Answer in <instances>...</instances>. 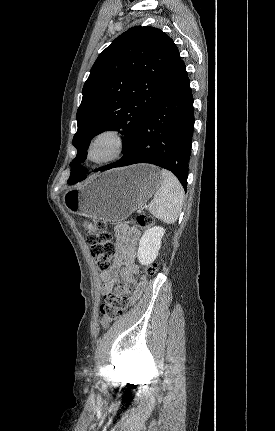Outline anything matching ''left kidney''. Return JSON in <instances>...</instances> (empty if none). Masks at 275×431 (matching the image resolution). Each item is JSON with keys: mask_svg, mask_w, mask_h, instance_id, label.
<instances>
[{"mask_svg": "<svg viewBox=\"0 0 275 431\" xmlns=\"http://www.w3.org/2000/svg\"><path fill=\"white\" fill-rule=\"evenodd\" d=\"M164 233L165 229L159 226L148 228L144 232L137 253L138 260L142 265H148L156 259Z\"/></svg>", "mask_w": 275, "mask_h": 431, "instance_id": "1", "label": "left kidney"}]
</instances>
